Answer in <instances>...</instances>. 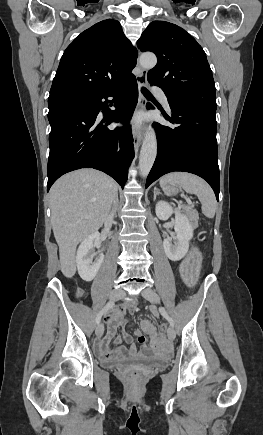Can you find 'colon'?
I'll list each match as a JSON object with an SVG mask.
<instances>
[{
	"mask_svg": "<svg viewBox=\"0 0 263 435\" xmlns=\"http://www.w3.org/2000/svg\"><path fill=\"white\" fill-rule=\"evenodd\" d=\"M160 332H166V329L169 327L167 324H161ZM152 341V338H151ZM163 349V348H162ZM126 379L131 383H136L141 379V374L138 371H131L126 375Z\"/></svg>",
	"mask_w": 263,
	"mask_h": 435,
	"instance_id": "1",
	"label": "colon"
}]
</instances>
